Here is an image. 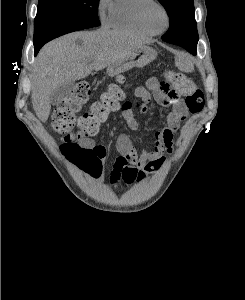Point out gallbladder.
I'll use <instances>...</instances> for the list:
<instances>
[{
    "label": "gallbladder",
    "mask_w": 245,
    "mask_h": 300,
    "mask_svg": "<svg viewBox=\"0 0 245 300\" xmlns=\"http://www.w3.org/2000/svg\"><path fill=\"white\" fill-rule=\"evenodd\" d=\"M75 90L74 82H67L55 89L51 94V103L59 105L62 101L69 99L73 96Z\"/></svg>",
    "instance_id": "obj_1"
}]
</instances>
